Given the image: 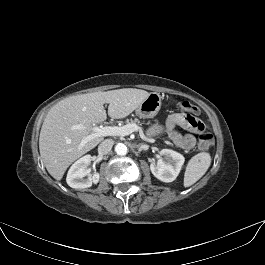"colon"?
Here are the masks:
<instances>
[{
  "instance_id": "1",
  "label": "colon",
  "mask_w": 265,
  "mask_h": 265,
  "mask_svg": "<svg viewBox=\"0 0 265 265\" xmlns=\"http://www.w3.org/2000/svg\"><path fill=\"white\" fill-rule=\"evenodd\" d=\"M180 109L189 113V114H197L198 109L191 103L187 101H181L179 103ZM214 144V137L211 133H203L199 137L198 147L201 150H207Z\"/></svg>"
}]
</instances>
